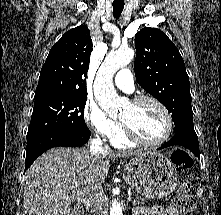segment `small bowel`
<instances>
[{
  "label": "small bowel",
  "instance_id": "obj_1",
  "mask_svg": "<svg viewBox=\"0 0 221 215\" xmlns=\"http://www.w3.org/2000/svg\"><path fill=\"white\" fill-rule=\"evenodd\" d=\"M133 215H179V212L174 207H137L134 209Z\"/></svg>",
  "mask_w": 221,
  "mask_h": 215
}]
</instances>
